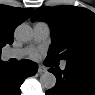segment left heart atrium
Returning <instances> with one entry per match:
<instances>
[{
    "instance_id": "1",
    "label": "left heart atrium",
    "mask_w": 95,
    "mask_h": 95,
    "mask_svg": "<svg viewBox=\"0 0 95 95\" xmlns=\"http://www.w3.org/2000/svg\"><path fill=\"white\" fill-rule=\"evenodd\" d=\"M30 57L33 58V59H36L38 58V51L37 50H31L30 51Z\"/></svg>"
}]
</instances>
